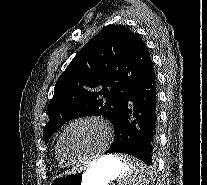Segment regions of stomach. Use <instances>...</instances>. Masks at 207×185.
<instances>
[{
	"label": "stomach",
	"mask_w": 207,
	"mask_h": 185,
	"mask_svg": "<svg viewBox=\"0 0 207 185\" xmlns=\"http://www.w3.org/2000/svg\"><path fill=\"white\" fill-rule=\"evenodd\" d=\"M123 169V162L117 155H106L84 172L54 178L51 185H108L121 176Z\"/></svg>",
	"instance_id": "obj_1"
}]
</instances>
